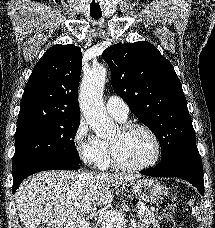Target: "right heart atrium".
Segmentation results:
<instances>
[{"mask_svg": "<svg viewBox=\"0 0 215 228\" xmlns=\"http://www.w3.org/2000/svg\"><path fill=\"white\" fill-rule=\"evenodd\" d=\"M72 143L77 157L85 164L97 163L101 156L99 139L91 132L88 122L80 117L73 131Z\"/></svg>", "mask_w": 215, "mask_h": 228, "instance_id": "1", "label": "right heart atrium"}]
</instances>
